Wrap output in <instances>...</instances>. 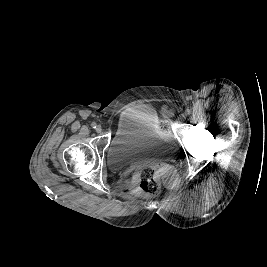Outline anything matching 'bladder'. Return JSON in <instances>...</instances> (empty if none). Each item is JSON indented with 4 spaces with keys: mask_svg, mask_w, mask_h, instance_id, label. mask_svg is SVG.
<instances>
[{
    "mask_svg": "<svg viewBox=\"0 0 267 267\" xmlns=\"http://www.w3.org/2000/svg\"><path fill=\"white\" fill-rule=\"evenodd\" d=\"M167 144L155 111L137 106L124 111L111 145L107 163L112 169L136 165L162 151Z\"/></svg>",
    "mask_w": 267,
    "mask_h": 267,
    "instance_id": "1",
    "label": "bladder"
}]
</instances>
